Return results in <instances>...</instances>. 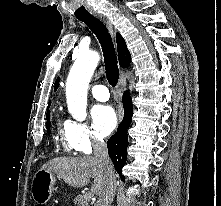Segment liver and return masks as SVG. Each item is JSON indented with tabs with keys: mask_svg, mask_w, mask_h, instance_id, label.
<instances>
[{
	"mask_svg": "<svg viewBox=\"0 0 221 206\" xmlns=\"http://www.w3.org/2000/svg\"><path fill=\"white\" fill-rule=\"evenodd\" d=\"M41 169L54 173L74 187L85 186L93 177L91 192L98 197L104 188V172L94 157H58L49 160Z\"/></svg>",
	"mask_w": 221,
	"mask_h": 206,
	"instance_id": "1",
	"label": "liver"
}]
</instances>
